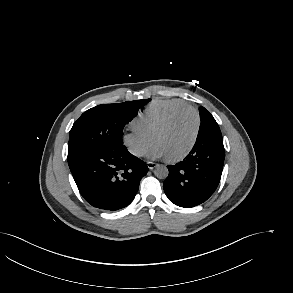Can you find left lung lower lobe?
Listing matches in <instances>:
<instances>
[{"mask_svg": "<svg viewBox=\"0 0 293 293\" xmlns=\"http://www.w3.org/2000/svg\"><path fill=\"white\" fill-rule=\"evenodd\" d=\"M222 137L216 134L197 137L189 155L168 165L164 191L174 204L191 208L206 201L216 190L224 164Z\"/></svg>", "mask_w": 293, "mask_h": 293, "instance_id": "0a47b994", "label": "left lung lower lobe"}]
</instances>
